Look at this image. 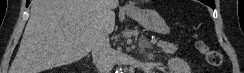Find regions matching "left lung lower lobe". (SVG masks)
Returning a JSON list of instances; mask_svg holds the SVG:
<instances>
[{"label":"left lung lower lobe","mask_w":244,"mask_h":73,"mask_svg":"<svg viewBox=\"0 0 244 73\" xmlns=\"http://www.w3.org/2000/svg\"><path fill=\"white\" fill-rule=\"evenodd\" d=\"M204 4L210 6L211 8L215 7V0H201Z\"/></svg>","instance_id":"0a47b994"}]
</instances>
